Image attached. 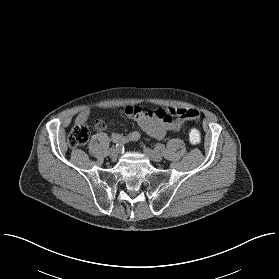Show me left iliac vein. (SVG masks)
<instances>
[{"instance_id":"left-iliac-vein-1","label":"left iliac vein","mask_w":279,"mask_h":279,"mask_svg":"<svg viewBox=\"0 0 279 279\" xmlns=\"http://www.w3.org/2000/svg\"><path fill=\"white\" fill-rule=\"evenodd\" d=\"M144 153H145L146 156H148L151 160H153L155 162H159L163 158L161 153L156 152V151H154L150 148H145Z\"/></svg>"}]
</instances>
